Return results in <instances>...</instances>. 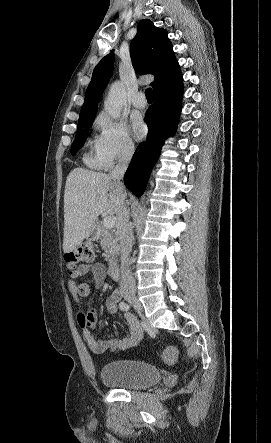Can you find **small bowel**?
I'll list each match as a JSON object with an SVG mask.
<instances>
[{"label": "small bowel", "instance_id": "obj_1", "mask_svg": "<svg viewBox=\"0 0 271 443\" xmlns=\"http://www.w3.org/2000/svg\"><path fill=\"white\" fill-rule=\"evenodd\" d=\"M77 276H83L91 272L96 287H100L106 277V271L101 263L82 264L76 269ZM68 288L79 300V287L73 280H69ZM120 299V293L116 290L106 299V307L110 312L117 310V304ZM97 314L95 311L79 312L77 321L83 330L84 339L91 349L96 354H108L122 352L135 347L141 340V330L139 323L134 315L126 312L124 320L129 328V333L126 337L101 338L96 333Z\"/></svg>", "mask_w": 271, "mask_h": 443}]
</instances>
